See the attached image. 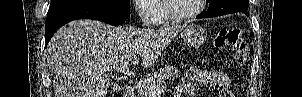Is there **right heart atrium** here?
Here are the masks:
<instances>
[{"instance_id":"1","label":"right heart atrium","mask_w":302,"mask_h":97,"mask_svg":"<svg viewBox=\"0 0 302 97\" xmlns=\"http://www.w3.org/2000/svg\"><path fill=\"white\" fill-rule=\"evenodd\" d=\"M154 0H136V13L139 20L146 25L156 24L158 14Z\"/></svg>"}]
</instances>
